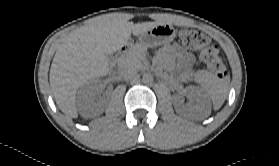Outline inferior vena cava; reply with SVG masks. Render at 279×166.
Wrapping results in <instances>:
<instances>
[{"label": "inferior vena cava", "instance_id": "602c4592", "mask_svg": "<svg viewBox=\"0 0 279 166\" xmlns=\"http://www.w3.org/2000/svg\"><path fill=\"white\" fill-rule=\"evenodd\" d=\"M136 70L133 68H127L121 71L120 75L122 78L127 79V78H131L133 76L136 75Z\"/></svg>", "mask_w": 279, "mask_h": 166}]
</instances>
